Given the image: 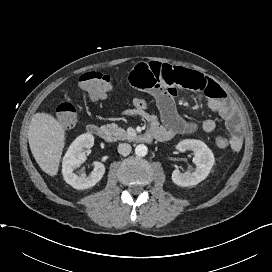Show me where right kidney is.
Listing matches in <instances>:
<instances>
[{"mask_svg": "<svg viewBox=\"0 0 272 272\" xmlns=\"http://www.w3.org/2000/svg\"><path fill=\"white\" fill-rule=\"evenodd\" d=\"M94 144L93 135L86 133L78 136L68 148L62 163L64 180L73 188L84 190L95 186L105 173V166L101 162H94V171L90 175L74 173V169L85 160L84 148H91Z\"/></svg>", "mask_w": 272, "mask_h": 272, "instance_id": "right-kidney-1", "label": "right kidney"}]
</instances>
